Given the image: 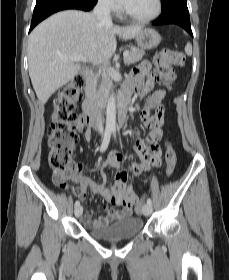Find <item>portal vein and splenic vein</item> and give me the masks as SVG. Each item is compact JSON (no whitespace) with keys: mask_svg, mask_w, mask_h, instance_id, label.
Masks as SVG:
<instances>
[{"mask_svg":"<svg viewBox=\"0 0 229 280\" xmlns=\"http://www.w3.org/2000/svg\"><path fill=\"white\" fill-rule=\"evenodd\" d=\"M128 56H129V51H125L123 53L124 61L127 60ZM60 58L62 60H68V61H72V62H79V61L86 62V58L85 57L77 56V55L76 56H64V55H62V56H60Z\"/></svg>","mask_w":229,"mask_h":280,"instance_id":"portal-vein-and-splenic-vein-1","label":"portal vein and splenic vein"}]
</instances>
